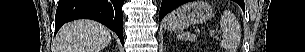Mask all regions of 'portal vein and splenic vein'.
<instances>
[{
	"label": "portal vein and splenic vein",
	"instance_id": "1",
	"mask_svg": "<svg viewBox=\"0 0 305 52\" xmlns=\"http://www.w3.org/2000/svg\"><path fill=\"white\" fill-rule=\"evenodd\" d=\"M196 31H198V30H196ZM217 33V31L216 30H212V31H210V34L211 35H215Z\"/></svg>",
	"mask_w": 305,
	"mask_h": 52
}]
</instances>
